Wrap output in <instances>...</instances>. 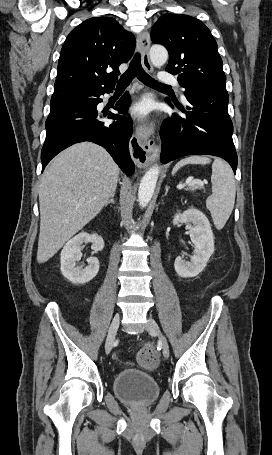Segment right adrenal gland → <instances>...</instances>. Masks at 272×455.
<instances>
[{
	"label": "right adrenal gland",
	"instance_id": "1",
	"mask_svg": "<svg viewBox=\"0 0 272 455\" xmlns=\"http://www.w3.org/2000/svg\"><path fill=\"white\" fill-rule=\"evenodd\" d=\"M116 192H114L110 198V200H108V202L105 204V206H108L110 203L112 204H115V201H114V196H115Z\"/></svg>",
	"mask_w": 272,
	"mask_h": 455
}]
</instances>
